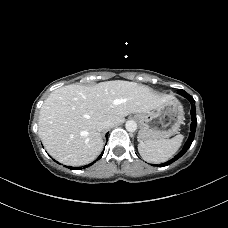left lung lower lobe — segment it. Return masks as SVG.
<instances>
[{
    "label": "left lung lower lobe",
    "mask_w": 228,
    "mask_h": 228,
    "mask_svg": "<svg viewBox=\"0 0 228 228\" xmlns=\"http://www.w3.org/2000/svg\"><path fill=\"white\" fill-rule=\"evenodd\" d=\"M183 96L186 97L192 104V109H191L192 123H191V132H190L189 138L186 141L183 149L174 158H172L171 160H169L165 163L159 164L157 166L163 167V166L170 165L171 163H173L174 161H176L177 159L182 157L186 153V151L189 149V147L191 146V144L194 140L196 125H197L196 111H195V105H194L195 100L188 93H184Z\"/></svg>",
    "instance_id": "1"
}]
</instances>
